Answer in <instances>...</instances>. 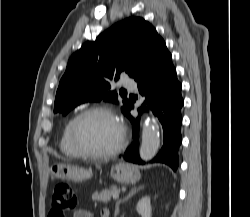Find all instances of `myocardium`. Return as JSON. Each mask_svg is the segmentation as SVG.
I'll return each mask as SVG.
<instances>
[{"instance_id": "obj_1", "label": "myocardium", "mask_w": 250, "mask_h": 217, "mask_svg": "<svg viewBox=\"0 0 250 217\" xmlns=\"http://www.w3.org/2000/svg\"><path fill=\"white\" fill-rule=\"evenodd\" d=\"M92 113H103V114L108 115L117 123L119 127V131H120L119 141L112 149L108 151L94 152V151L87 150L86 148L82 146V144L78 140L77 126H78L79 121L83 117ZM69 137H70V141L72 145L82 157L92 158V159H104V158H110V157L116 156L124 149L127 143L126 128L122 120L112 108L106 105H92L81 110L71 120L70 127H69Z\"/></svg>"}]
</instances>
